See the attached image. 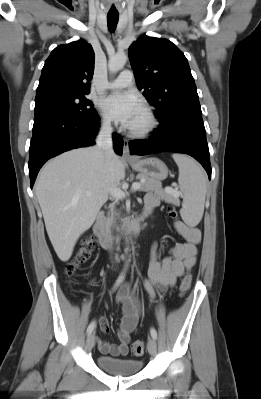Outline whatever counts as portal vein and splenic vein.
<instances>
[{
	"mask_svg": "<svg viewBox=\"0 0 261 399\" xmlns=\"http://www.w3.org/2000/svg\"><path fill=\"white\" fill-rule=\"evenodd\" d=\"M142 182H144V180ZM140 187H141V183L135 182L132 184L131 190L136 191V190H139ZM167 192L172 193L173 195H177V196L180 195L179 191L172 189V188H168ZM111 195L116 199H122V198L126 197V193L119 188L112 189Z\"/></svg>",
	"mask_w": 261,
	"mask_h": 399,
	"instance_id": "portal-vein-and-splenic-vein-1",
	"label": "portal vein and splenic vein"
}]
</instances>
